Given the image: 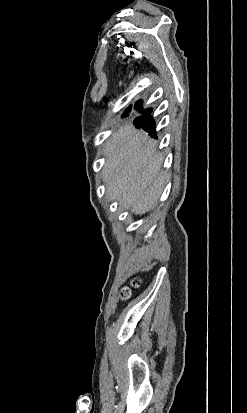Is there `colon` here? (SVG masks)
<instances>
[{
	"instance_id": "5ec220e1",
	"label": "colon",
	"mask_w": 247,
	"mask_h": 413,
	"mask_svg": "<svg viewBox=\"0 0 247 413\" xmlns=\"http://www.w3.org/2000/svg\"><path fill=\"white\" fill-rule=\"evenodd\" d=\"M142 284V280L139 277L133 278L129 285L122 287L120 292L121 300H127L131 294L132 289L140 287Z\"/></svg>"
}]
</instances>
